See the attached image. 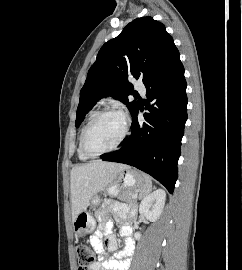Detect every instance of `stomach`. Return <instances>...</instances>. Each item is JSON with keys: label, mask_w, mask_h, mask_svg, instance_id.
Segmentation results:
<instances>
[{"label": "stomach", "mask_w": 242, "mask_h": 270, "mask_svg": "<svg viewBox=\"0 0 242 270\" xmlns=\"http://www.w3.org/2000/svg\"><path fill=\"white\" fill-rule=\"evenodd\" d=\"M144 185V176L140 172L128 168L118 174L117 181L108 186L107 192L110 196H117L121 189L137 193ZM92 203L98 205L100 203L99 198L93 199ZM95 225L96 222L92 215L87 211H83L73 222L75 235L77 237H85L94 230Z\"/></svg>", "instance_id": "1"}]
</instances>
